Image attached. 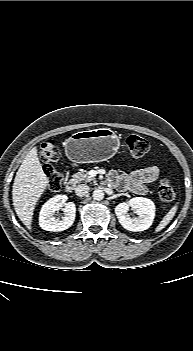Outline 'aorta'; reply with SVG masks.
Here are the masks:
<instances>
[{
    "label": "aorta",
    "mask_w": 193,
    "mask_h": 351,
    "mask_svg": "<svg viewBox=\"0 0 193 351\" xmlns=\"http://www.w3.org/2000/svg\"><path fill=\"white\" fill-rule=\"evenodd\" d=\"M92 196H93L94 200L99 201V200H102L104 198V192H103V190L95 189L93 191V195Z\"/></svg>",
    "instance_id": "762f6f07"
}]
</instances>
